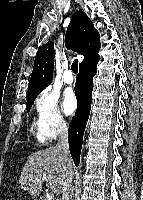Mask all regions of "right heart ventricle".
Here are the masks:
<instances>
[{
    "instance_id": "right-heart-ventricle-1",
    "label": "right heart ventricle",
    "mask_w": 143,
    "mask_h": 200,
    "mask_svg": "<svg viewBox=\"0 0 143 200\" xmlns=\"http://www.w3.org/2000/svg\"><path fill=\"white\" fill-rule=\"evenodd\" d=\"M33 128L36 131L38 141L41 143L46 142L47 139L41 133L39 121L33 122Z\"/></svg>"
}]
</instances>
